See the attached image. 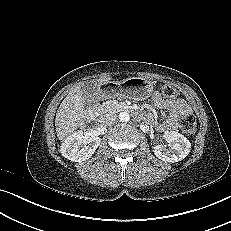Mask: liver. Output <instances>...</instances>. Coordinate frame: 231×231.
<instances>
[{"instance_id":"1","label":"liver","mask_w":231,"mask_h":231,"mask_svg":"<svg viewBox=\"0 0 231 231\" xmlns=\"http://www.w3.org/2000/svg\"><path fill=\"white\" fill-rule=\"evenodd\" d=\"M111 78L100 79V84L110 83ZM84 98L79 87L71 90L60 104L55 118L57 137L65 141L75 130L84 125L87 118Z\"/></svg>"}]
</instances>
